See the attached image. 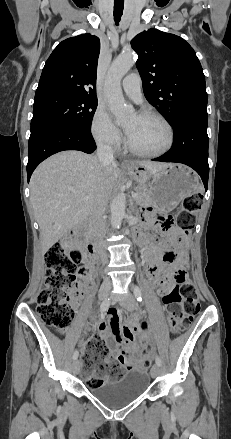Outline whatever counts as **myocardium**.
<instances>
[{"mask_svg": "<svg viewBox=\"0 0 231 439\" xmlns=\"http://www.w3.org/2000/svg\"><path fill=\"white\" fill-rule=\"evenodd\" d=\"M138 115L139 116H146V117H154V118L158 119L160 122H162V124L166 127L167 132H168L167 144L163 148H161L160 150L153 151V152H144V151H140V150L135 149L129 143V140L127 138L126 139V148L133 155H136V156L142 157V158H156V157H160V156L164 155L165 153H167L168 151H170L174 145V142H175V131H174V128H173L172 124L170 123V121L160 112L155 111V110H151V109L142 110L138 113Z\"/></svg>", "mask_w": 231, "mask_h": 439, "instance_id": "myocardium-1", "label": "myocardium"}]
</instances>
